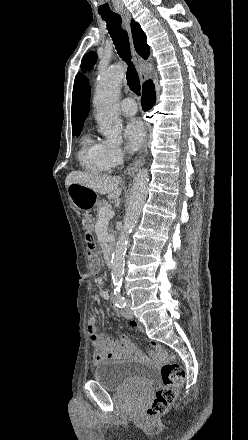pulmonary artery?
<instances>
[{"label":"pulmonary artery","instance_id":"e3ab8cb5","mask_svg":"<svg viewBox=\"0 0 248 440\" xmlns=\"http://www.w3.org/2000/svg\"><path fill=\"white\" fill-rule=\"evenodd\" d=\"M120 111L123 115L132 116L137 112V105L132 98H125L120 103Z\"/></svg>","mask_w":248,"mask_h":440}]
</instances>
